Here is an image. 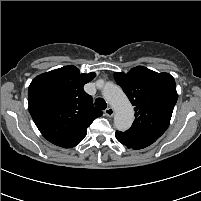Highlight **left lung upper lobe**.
Returning a JSON list of instances; mask_svg holds the SVG:
<instances>
[{
  "label": "left lung upper lobe",
  "mask_w": 201,
  "mask_h": 201,
  "mask_svg": "<svg viewBox=\"0 0 201 201\" xmlns=\"http://www.w3.org/2000/svg\"><path fill=\"white\" fill-rule=\"evenodd\" d=\"M114 77L135 110V120L126 132L159 138L168 128L177 102L174 78L143 66L127 74L115 73Z\"/></svg>",
  "instance_id": "5c2ea615"
}]
</instances>
